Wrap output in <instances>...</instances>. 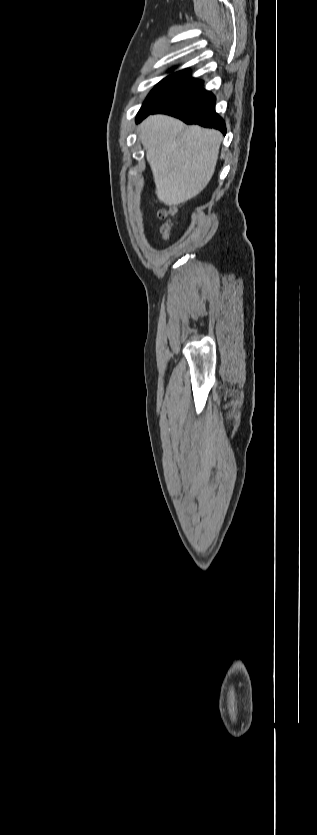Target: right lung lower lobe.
Here are the masks:
<instances>
[{"label": "right lung lower lobe", "instance_id": "right-lung-lower-lobe-1", "mask_svg": "<svg viewBox=\"0 0 317 835\" xmlns=\"http://www.w3.org/2000/svg\"><path fill=\"white\" fill-rule=\"evenodd\" d=\"M215 101L216 98L211 92L198 87L146 113L139 119V122L149 114L166 113L181 119L187 124H198L206 128L218 129L225 135V123L215 112Z\"/></svg>", "mask_w": 317, "mask_h": 835}]
</instances>
